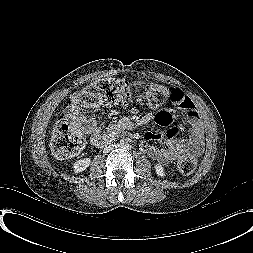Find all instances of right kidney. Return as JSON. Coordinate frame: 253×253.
I'll return each instance as SVG.
<instances>
[{
  "label": "right kidney",
  "instance_id": "1",
  "mask_svg": "<svg viewBox=\"0 0 253 253\" xmlns=\"http://www.w3.org/2000/svg\"><path fill=\"white\" fill-rule=\"evenodd\" d=\"M90 164V158L79 159L73 164V170L75 173L83 172L90 166Z\"/></svg>",
  "mask_w": 253,
  "mask_h": 253
}]
</instances>
